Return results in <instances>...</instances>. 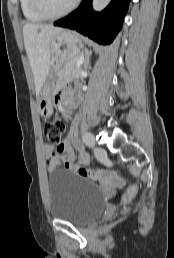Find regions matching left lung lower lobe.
Wrapping results in <instances>:
<instances>
[{"label":"left lung lower lobe","mask_w":174,"mask_h":258,"mask_svg":"<svg viewBox=\"0 0 174 258\" xmlns=\"http://www.w3.org/2000/svg\"><path fill=\"white\" fill-rule=\"evenodd\" d=\"M129 1L112 0L101 13H97L92 10V0H83L78 9L54 25L76 30L99 44L107 45L121 29Z\"/></svg>","instance_id":"0a47b994"}]
</instances>
